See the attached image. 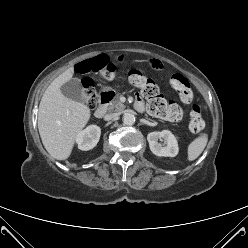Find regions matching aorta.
Instances as JSON below:
<instances>
[{
    "label": "aorta",
    "mask_w": 248,
    "mask_h": 248,
    "mask_svg": "<svg viewBox=\"0 0 248 248\" xmlns=\"http://www.w3.org/2000/svg\"><path fill=\"white\" fill-rule=\"evenodd\" d=\"M123 123L126 125H133L135 123V116L134 114L128 112L123 115Z\"/></svg>",
    "instance_id": "1"
}]
</instances>
